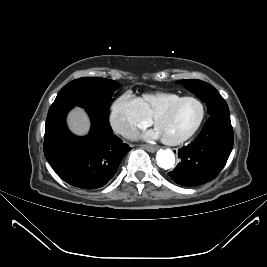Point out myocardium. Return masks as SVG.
<instances>
[{"mask_svg": "<svg viewBox=\"0 0 267 267\" xmlns=\"http://www.w3.org/2000/svg\"><path fill=\"white\" fill-rule=\"evenodd\" d=\"M196 101L201 108V113H200V117L197 120L196 124L192 127V129L190 131H188L185 135L179 137V138H175V139H168V138H163L162 137V141L167 144V145H180L184 142H186L187 140H189L201 127L204 119H205V115H206V107L204 102L195 96H183L180 99L172 102L171 104L167 105L166 107L162 108L161 110H159L158 112H156L152 118V123L153 125L156 127L158 120L160 118H162L163 116L169 114L170 112H172L176 107H178L180 104H182L185 101Z\"/></svg>", "mask_w": 267, "mask_h": 267, "instance_id": "1", "label": "myocardium"}]
</instances>
